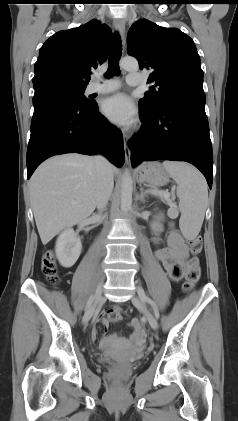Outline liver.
Segmentation results:
<instances>
[{
	"label": "liver",
	"mask_w": 238,
	"mask_h": 421,
	"mask_svg": "<svg viewBox=\"0 0 238 421\" xmlns=\"http://www.w3.org/2000/svg\"><path fill=\"white\" fill-rule=\"evenodd\" d=\"M110 166L115 174L117 168ZM29 187L36 226L46 245L60 231L85 220L95 210L94 158L81 154L49 158L36 169Z\"/></svg>",
	"instance_id": "1"
}]
</instances>
